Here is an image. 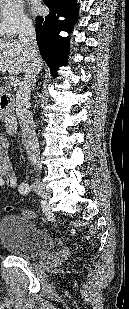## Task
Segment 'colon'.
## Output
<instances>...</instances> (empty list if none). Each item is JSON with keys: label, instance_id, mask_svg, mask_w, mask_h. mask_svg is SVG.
Wrapping results in <instances>:
<instances>
[{"label": "colon", "instance_id": "1", "mask_svg": "<svg viewBox=\"0 0 129 309\" xmlns=\"http://www.w3.org/2000/svg\"><path fill=\"white\" fill-rule=\"evenodd\" d=\"M20 213H21L23 216H25V217H27V218H29V219L35 218V214H34L32 211H30V210L21 209V210H20Z\"/></svg>", "mask_w": 129, "mask_h": 309}]
</instances>
